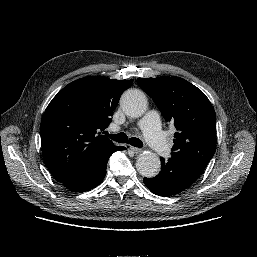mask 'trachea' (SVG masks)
Returning a JSON list of instances; mask_svg holds the SVG:
<instances>
[{"label":"trachea","instance_id":"3493384b","mask_svg":"<svg viewBox=\"0 0 257 257\" xmlns=\"http://www.w3.org/2000/svg\"><path fill=\"white\" fill-rule=\"evenodd\" d=\"M106 135L118 143H127L128 142L130 145H132L134 147H138V148H141L143 146V143L140 139H138L136 137H132V138L128 139V136L123 132L118 133V134L106 133Z\"/></svg>","mask_w":257,"mask_h":257}]
</instances>
